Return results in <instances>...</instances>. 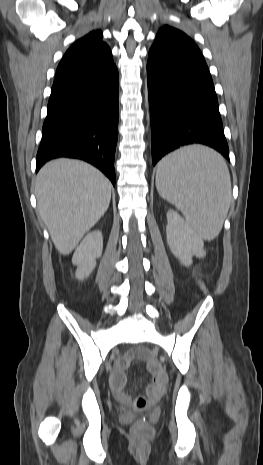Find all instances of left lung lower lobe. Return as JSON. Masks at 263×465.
Wrapping results in <instances>:
<instances>
[{
  "instance_id": "obj_1",
  "label": "left lung lower lobe",
  "mask_w": 263,
  "mask_h": 465,
  "mask_svg": "<svg viewBox=\"0 0 263 465\" xmlns=\"http://www.w3.org/2000/svg\"><path fill=\"white\" fill-rule=\"evenodd\" d=\"M147 82L153 165L193 143L208 145L229 161L217 96L202 54L152 46Z\"/></svg>"
}]
</instances>
